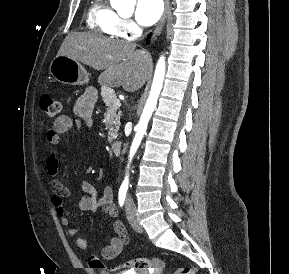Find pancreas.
Wrapping results in <instances>:
<instances>
[{"mask_svg": "<svg viewBox=\"0 0 289 274\" xmlns=\"http://www.w3.org/2000/svg\"><path fill=\"white\" fill-rule=\"evenodd\" d=\"M101 95L108 110H113L114 112V118L112 120V124L114 125V127H111L108 132V141L112 142L114 139L117 138V132L119 130V115H116V111L117 109H119L120 105L115 104L117 97L115 92L111 88H102Z\"/></svg>", "mask_w": 289, "mask_h": 274, "instance_id": "pancreas-1", "label": "pancreas"}]
</instances>
